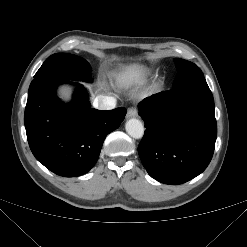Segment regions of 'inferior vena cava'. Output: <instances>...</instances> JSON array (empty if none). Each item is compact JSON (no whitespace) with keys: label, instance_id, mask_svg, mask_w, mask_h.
<instances>
[{"label":"inferior vena cava","instance_id":"obj_1","mask_svg":"<svg viewBox=\"0 0 247 247\" xmlns=\"http://www.w3.org/2000/svg\"><path fill=\"white\" fill-rule=\"evenodd\" d=\"M116 106V98L99 95L93 101V107L100 110H111Z\"/></svg>","mask_w":247,"mask_h":247}]
</instances>
